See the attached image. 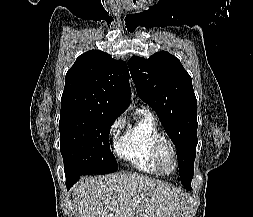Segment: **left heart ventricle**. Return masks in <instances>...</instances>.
<instances>
[{
  "label": "left heart ventricle",
  "mask_w": 253,
  "mask_h": 217,
  "mask_svg": "<svg viewBox=\"0 0 253 217\" xmlns=\"http://www.w3.org/2000/svg\"><path fill=\"white\" fill-rule=\"evenodd\" d=\"M162 161H163L164 168L167 171H171L173 169V158H172V155L168 149H165L163 151Z\"/></svg>",
  "instance_id": "b2bd125f"
}]
</instances>
